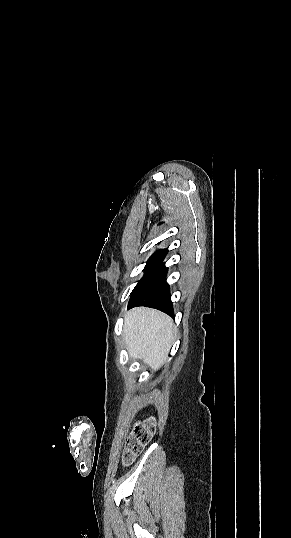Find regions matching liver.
<instances>
[{
	"instance_id": "liver-1",
	"label": "liver",
	"mask_w": 291,
	"mask_h": 538,
	"mask_svg": "<svg viewBox=\"0 0 291 538\" xmlns=\"http://www.w3.org/2000/svg\"><path fill=\"white\" fill-rule=\"evenodd\" d=\"M175 328L166 314L144 307L125 314L123 334L129 354L157 370L173 344Z\"/></svg>"
}]
</instances>
